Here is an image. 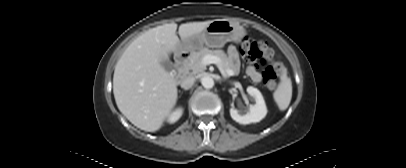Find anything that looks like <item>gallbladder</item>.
Masks as SVG:
<instances>
[{
	"label": "gallbladder",
	"instance_id": "bac80fb5",
	"mask_svg": "<svg viewBox=\"0 0 406 168\" xmlns=\"http://www.w3.org/2000/svg\"><path fill=\"white\" fill-rule=\"evenodd\" d=\"M161 65L164 67V69L166 70V71H168V72H170V71H172L173 69H174V65H173V63L169 60V59H166V60H163L162 62H161Z\"/></svg>",
	"mask_w": 406,
	"mask_h": 168
}]
</instances>
